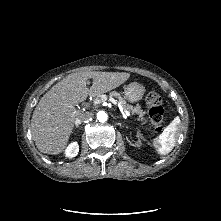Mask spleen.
<instances>
[{"label": "spleen", "mask_w": 221, "mask_h": 221, "mask_svg": "<svg viewBox=\"0 0 221 221\" xmlns=\"http://www.w3.org/2000/svg\"><path fill=\"white\" fill-rule=\"evenodd\" d=\"M180 123V118L176 116L158 136V138L154 140V147L158 154L166 155L172 151L175 146L177 131Z\"/></svg>", "instance_id": "spleen-1"}]
</instances>
